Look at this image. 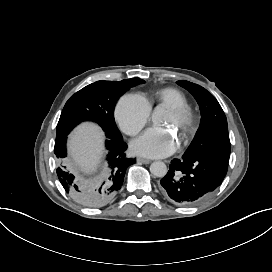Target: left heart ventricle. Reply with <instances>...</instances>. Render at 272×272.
Returning <instances> with one entry per match:
<instances>
[{"instance_id":"b2bd125f","label":"left heart ventricle","mask_w":272,"mask_h":272,"mask_svg":"<svg viewBox=\"0 0 272 272\" xmlns=\"http://www.w3.org/2000/svg\"><path fill=\"white\" fill-rule=\"evenodd\" d=\"M164 123L177 126V118L170 110L168 111V114L166 116Z\"/></svg>"}]
</instances>
